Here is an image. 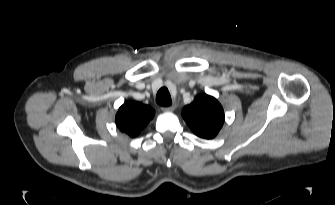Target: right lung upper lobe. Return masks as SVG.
<instances>
[{
    "label": "right lung upper lobe",
    "instance_id": "right-lung-upper-lobe-1",
    "mask_svg": "<svg viewBox=\"0 0 335 205\" xmlns=\"http://www.w3.org/2000/svg\"><path fill=\"white\" fill-rule=\"evenodd\" d=\"M154 114V110L148 105L139 102H127L119 108L115 119L122 132L130 137H136L153 118Z\"/></svg>",
    "mask_w": 335,
    "mask_h": 205
}]
</instances>
